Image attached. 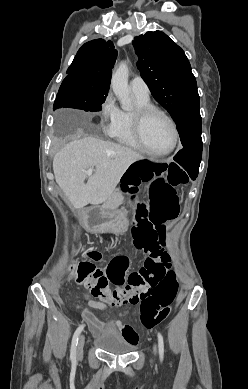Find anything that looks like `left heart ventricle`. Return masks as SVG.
I'll list each match as a JSON object with an SVG mask.
<instances>
[{
  "mask_svg": "<svg viewBox=\"0 0 248 389\" xmlns=\"http://www.w3.org/2000/svg\"><path fill=\"white\" fill-rule=\"evenodd\" d=\"M143 137L147 146L156 152L169 149L173 142V132L169 122L158 114L147 119Z\"/></svg>",
  "mask_w": 248,
  "mask_h": 389,
  "instance_id": "obj_1",
  "label": "left heart ventricle"
}]
</instances>
